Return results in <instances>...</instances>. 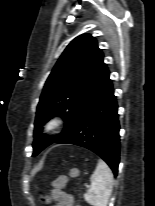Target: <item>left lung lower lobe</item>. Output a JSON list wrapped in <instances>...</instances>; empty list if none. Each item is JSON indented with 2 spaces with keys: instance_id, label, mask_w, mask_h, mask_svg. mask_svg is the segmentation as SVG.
<instances>
[{
  "instance_id": "0a47b994",
  "label": "left lung lower lobe",
  "mask_w": 155,
  "mask_h": 206,
  "mask_svg": "<svg viewBox=\"0 0 155 206\" xmlns=\"http://www.w3.org/2000/svg\"><path fill=\"white\" fill-rule=\"evenodd\" d=\"M112 83L83 112L75 126L55 143L74 144L98 154L118 173L120 136Z\"/></svg>"
}]
</instances>
